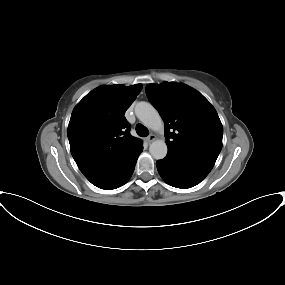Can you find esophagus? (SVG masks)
Masks as SVG:
<instances>
[{
    "instance_id": "34e87169",
    "label": "esophagus",
    "mask_w": 285,
    "mask_h": 285,
    "mask_svg": "<svg viewBox=\"0 0 285 285\" xmlns=\"http://www.w3.org/2000/svg\"><path fill=\"white\" fill-rule=\"evenodd\" d=\"M155 139H156V136H155L154 134H150V135L146 138V140H147L148 143L153 142Z\"/></svg>"
}]
</instances>
